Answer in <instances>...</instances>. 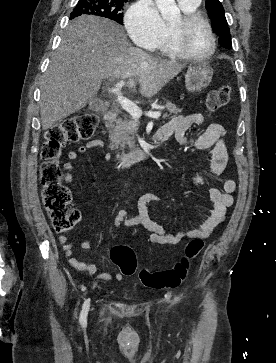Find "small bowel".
I'll use <instances>...</instances> for the list:
<instances>
[{
	"label": "small bowel",
	"mask_w": 276,
	"mask_h": 363,
	"mask_svg": "<svg viewBox=\"0 0 276 363\" xmlns=\"http://www.w3.org/2000/svg\"><path fill=\"white\" fill-rule=\"evenodd\" d=\"M205 122V116L202 113H194L187 116H176L163 126L158 133L165 136V139L174 136L180 144L187 145L197 150H212L209 160L207 173L212 177L221 175L226 169L228 163V150L225 141L226 130L219 123H210L206 130L197 137L188 138L187 130L193 125H200ZM103 146L101 140H92L81 145L77 150L68 152L69 162L64 164V169L68 171L64 180L71 182L73 180L72 172L75 165L72 161L78 159L80 154L86 153L92 148H100ZM179 179L190 186H202L205 178L202 174H192L189 176L182 175ZM236 189V182L231 178H226L222 182V189L212 188L209 191V197L212 203V210L208 217L198 227L189 230H182L176 233L168 232L162 225L153 221L148 213V204L151 202H159L160 196L155 193H146L142 195L137 203L138 214L134 217H128L126 211L118 212L114 219V228H119L122 224L125 226L142 225L151 232L150 241L156 244L177 245L185 239L189 238H205L211 235L214 230L225 220L227 208L233 204V192ZM62 244L65 256L69 264L78 271L95 275L101 281H121L124 275L121 272H103L98 273L95 264H89L78 260L73 252V246L67 242V238L63 235L58 237ZM92 248V242L83 241L80 249L89 251Z\"/></svg>",
	"instance_id": "1"
}]
</instances>
